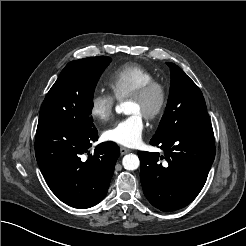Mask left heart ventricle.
I'll return each mask as SVG.
<instances>
[{"instance_id": "b2bd125f", "label": "left heart ventricle", "mask_w": 246, "mask_h": 246, "mask_svg": "<svg viewBox=\"0 0 246 246\" xmlns=\"http://www.w3.org/2000/svg\"><path fill=\"white\" fill-rule=\"evenodd\" d=\"M156 102H157L156 94H153L146 103H139L134 100H129L127 103V112L130 114L139 113L143 115L146 111L153 108Z\"/></svg>"}]
</instances>
